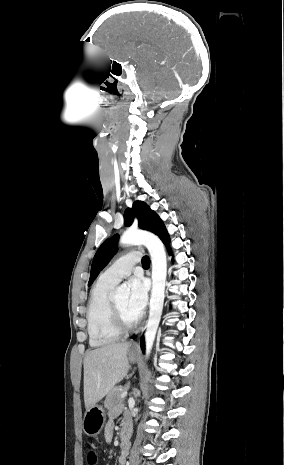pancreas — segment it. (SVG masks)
<instances>
[{"label": "pancreas", "instance_id": "1", "mask_svg": "<svg viewBox=\"0 0 284 465\" xmlns=\"http://www.w3.org/2000/svg\"><path fill=\"white\" fill-rule=\"evenodd\" d=\"M127 389H129V385H125V387H114V389H111V391L107 393V397L105 399V409H112V407L118 405L121 401V393H124Z\"/></svg>", "mask_w": 284, "mask_h": 465}]
</instances>
